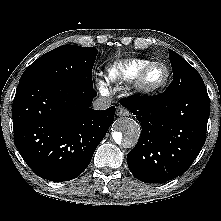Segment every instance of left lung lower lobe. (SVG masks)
Here are the masks:
<instances>
[{"mask_svg": "<svg viewBox=\"0 0 221 221\" xmlns=\"http://www.w3.org/2000/svg\"><path fill=\"white\" fill-rule=\"evenodd\" d=\"M120 103L142 125L136 146L127 155L132 174L146 183H162L183 174L206 139L210 102L207 90L169 98L131 96Z\"/></svg>", "mask_w": 221, "mask_h": 221, "instance_id": "0a47b994", "label": "left lung lower lobe"}]
</instances>
